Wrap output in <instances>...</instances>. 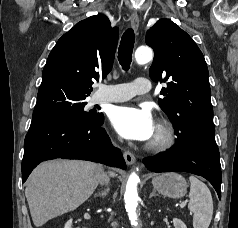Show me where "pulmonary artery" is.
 Listing matches in <instances>:
<instances>
[{"label":"pulmonary artery","mask_w":238,"mask_h":228,"mask_svg":"<svg viewBox=\"0 0 238 228\" xmlns=\"http://www.w3.org/2000/svg\"><path fill=\"white\" fill-rule=\"evenodd\" d=\"M150 87V80L143 77H138L131 83L102 85L96 94V101L100 103L125 101L149 92Z\"/></svg>","instance_id":"1"}]
</instances>
